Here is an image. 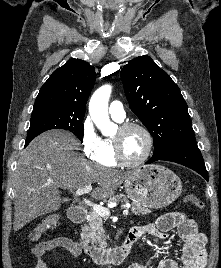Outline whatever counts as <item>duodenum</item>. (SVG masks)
<instances>
[{
  "instance_id": "duodenum-1",
  "label": "duodenum",
  "mask_w": 221,
  "mask_h": 268,
  "mask_svg": "<svg viewBox=\"0 0 221 268\" xmlns=\"http://www.w3.org/2000/svg\"><path fill=\"white\" fill-rule=\"evenodd\" d=\"M87 216L88 211L83 207H74L69 211V218L74 223L84 222ZM138 238V234L131 229L123 244L115 248L98 247L82 239L78 240V244L81 251L93 262L101 265H119L128 257Z\"/></svg>"
}]
</instances>
